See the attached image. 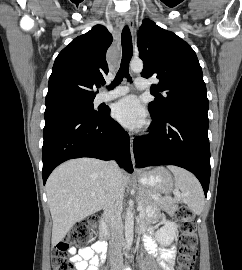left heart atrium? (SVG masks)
<instances>
[{"label": "left heart atrium", "instance_id": "obj_1", "mask_svg": "<svg viewBox=\"0 0 242 270\" xmlns=\"http://www.w3.org/2000/svg\"><path fill=\"white\" fill-rule=\"evenodd\" d=\"M113 117L122 125L135 128L145 122V110L135 96H129L118 101L112 110Z\"/></svg>", "mask_w": 242, "mask_h": 270}]
</instances>
